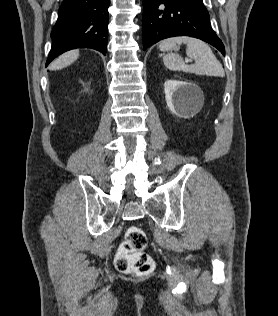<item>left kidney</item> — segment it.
<instances>
[{
  "label": "left kidney",
  "instance_id": "left-kidney-1",
  "mask_svg": "<svg viewBox=\"0 0 278 316\" xmlns=\"http://www.w3.org/2000/svg\"><path fill=\"white\" fill-rule=\"evenodd\" d=\"M164 88L167 106L175 115L186 117L203 103L202 91L193 83L167 80Z\"/></svg>",
  "mask_w": 278,
  "mask_h": 316
}]
</instances>
